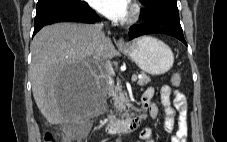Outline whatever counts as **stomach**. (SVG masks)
Masks as SVG:
<instances>
[{
    "label": "stomach",
    "mask_w": 227,
    "mask_h": 142,
    "mask_svg": "<svg viewBox=\"0 0 227 142\" xmlns=\"http://www.w3.org/2000/svg\"><path fill=\"white\" fill-rule=\"evenodd\" d=\"M120 51L133 60L137 66L151 75H161L170 70L174 62L171 49L162 41L143 36L130 42Z\"/></svg>",
    "instance_id": "1"
}]
</instances>
